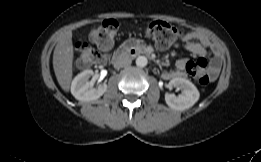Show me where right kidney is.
Returning a JSON list of instances; mask_svg holds the SVG:
<instances>
[{"mask_svg": "<svg viewBox=\"0 0 261 162\" xmlns=\"http://www.w3.org/2000/svg\"><path fill=\"white\" fill-rule=\"evenodd\" d=\"M94 81V72L86 70L80 73L72 82L73 96L82 102H92L100 98L107 90V84L100 85L97 89H90Z\"/></svg>", "mask_w": 261, "mask_h": 162, "instance_id": "1", "label": "right kidney"}]
</instances>
